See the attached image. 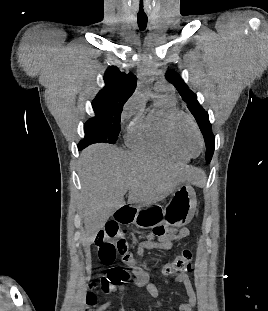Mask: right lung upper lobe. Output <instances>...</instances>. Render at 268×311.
Wrapping results in <instances>:
<instances>
[{
    "label": "right lung upper lobe",
    "instance_id": "1",
    "mask_svg": "<svg viewBox=\"0 0 268 311\" xmlns=\"http://www.w3.org/2000/svg\"><path fill=\"white\" fill-rule=\"evenodd\" d=\"M104 82V88L93 102L122 109L136 89L137 78L132 73L126 74L120 72L116 66H110L105 72Z\"/></svg>",
    "mask_w": 268,
    "mask_h": 311
}]
</instances>
